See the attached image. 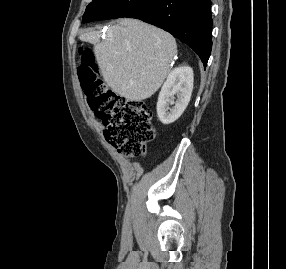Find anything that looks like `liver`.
Returning <instances> with one entry per match:
<instances>
[{
    "label": "liver",
    "mask_w": 286,
    "mask_h": 269,
    "mask_svg": "<svg viewBox=\"0 0 286 269\" xmlns=\"http://www.w3.org/2000/svg\"><path fill=\"white\" fill-rule=\"evenodd\" d=\"M99 31L79 39L93 44V52L107 85L117 94L141 101L151 97L170 72L177 53L175 39L167 32L137 19H121L100 42Z\"/></svg>",
    "instance_id": "1"
}]
</instances>
